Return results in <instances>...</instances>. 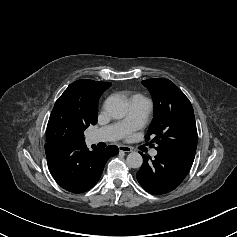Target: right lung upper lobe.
Returning <instances> with one entry per match:
<instances>
[{
    "instance_id": "1",
    "label": "right lung upper lobe",
    "mask_w": 237,
    "mask_h": 237,
    "mask_svg": "<svg viewBox=\"0 0 237 237\" xmlns=\"http://www.w3.org/2000/svg\"><path fill=\"white\" fill-rule=\"evenodd\" d=\"M110 86V82H97L89 79L77 80L68 86L57 101L68 103L74 107L85 120L91 122V124H96L98 100L103 92Z\"/></svg>"
}]
</instances>
